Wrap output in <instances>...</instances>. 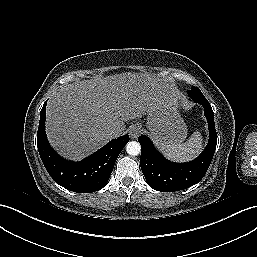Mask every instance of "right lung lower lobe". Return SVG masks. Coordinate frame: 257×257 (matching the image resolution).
Segmentation results:
<instances>
[{
  "mask_svg": "<svg viewBox=\"0 0 257 257\" xmlns=\"http://www.w3.org/2000/svg\"><path fill=\"white\" fill-rule=\"evenodd\" d=\"M46 103L47 101L40 113L37 146L49 175L56 183L70 191L91 193L102 189L108 182L118 155L129 141V136L111 140L80 162L64 160L51 148L46 137Z\"/></svg>",
  "mask_w": 257,
  "mask_h": 257,
  "instance_id": "1",
  "label": "right lung lower lobe"
}]
</instances>
